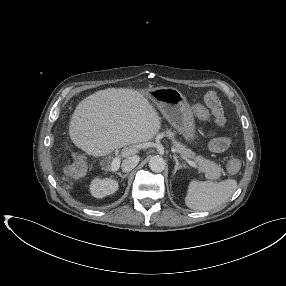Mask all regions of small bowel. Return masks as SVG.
Listing matches in <instances>:
<instances>
[{"mask_svg":"<svg viewBox=\"0 0 286 286\" xmlns=\"http://www.w3.org/2000/svg\"><path fill=\"white\" fill-rule=\"evenodd\" d=\"M202 112H207V110L202 106V105H196L194 107V113L201 117V113ZM214 119H215V123L218 126H222L224 124V116H223V112L220 111L218 113L212 112ZM229 145V139L227 137H215L213 139L210 140L209 142V148L212 152L214 153H221L224 152L227 147Z\"/></svg>","mask_w":286,"mask_h":286,"instance_id":"obj_1","label":"small bowel"}]
</instances>
